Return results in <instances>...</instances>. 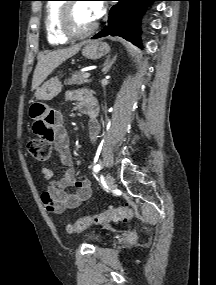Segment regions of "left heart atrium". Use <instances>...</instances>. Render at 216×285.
I'll return each instance as SVG.
<instances>
[{"label":"left heart atrium","mask_w":216,"mask_h":285,"mask_svg":"<svg viewBox=\"0 0 216 285\" xmlns=\"http://www.w3.org/2000/svg\"><path fill=\"white\" fill-rule=\"evenodd\" d=\"M88 5L95 20L99 19L105 12V6L102 1H92Z\"/></svg>","instance_id":"left-heart-atrium-1"}]
</instances>
